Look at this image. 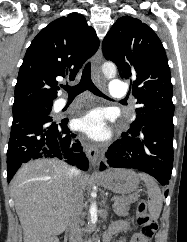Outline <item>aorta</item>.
Here are the masks:
<instances>
[{
	"instance_id": "aorta-1",
	"label": "aorta",
	"mask_w": 187,
	"mask_h": 242,
	"mask_svg": "<svg viewBox=\"0 0 187 242\" xmlns=\"http://www.w3.org/2000/svg\"><path fill=\"white\" fill-rule=\"evenodd\" d=\"M102 72L106 78L112 79L115 77L117 69L115 64L106 62L102 66ZM92 196H95V193H92ZM89 212H90L91 222L92 224H95L97 221V205L95 202H92Z\"/></svg>"
}]
</instances>
